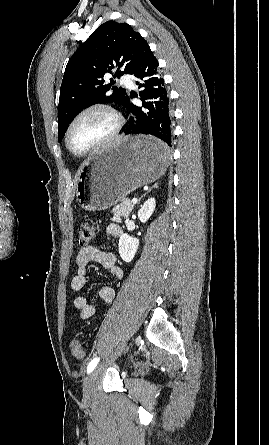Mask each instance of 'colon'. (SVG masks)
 Returning <instances> with one entry per match:
<instances>
[{"label":"colon","mask_w":269,"mask_h":445,"mask_svg":"<svg viewBox=\"0 0 269 445\" xmlns=\"http://www.w3.org/2000/svg\"><path fill=\"white\" fill-rule=\"evenodd\" d=\"M96 233L95 226L89 222H82L78 227V243L81 247H86L92 241ZM71 353L76 358H82L84 351L77 340L70 344Z\"/></svg>","instance_id":"5ec220e1"}]
</instances>
